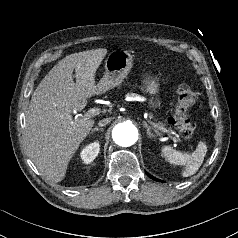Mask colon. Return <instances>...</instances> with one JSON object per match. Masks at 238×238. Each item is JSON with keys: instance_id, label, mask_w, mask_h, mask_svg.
I'll return each instance as SVG.
<instances>
[{"instance_id": "colon-1", "label": "colon", "mask_w": 238, "mask_h": 238, "mask_svg": "<svg viewBox=\"0 0 238 238\" xmlns=\"http://www.w3.org/2000/svg\"><path fill=\"white\" fill-rule=\"evenodd\" d=\"M196 102V93L187 85H180L177 89V104L169 122L184 138H191L195 134V126L189 118V109Z\"/></svg>"}]
</instances>
